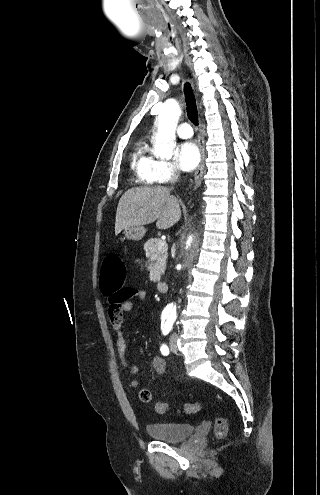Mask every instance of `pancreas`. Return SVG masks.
Segmentation results:
<instances>
[{
    "mask_svg": "<svg viewBox=\"0 0 320 495\" xmlns=\"http://www.w3.org/2000/svg\"><path fill=\"white\" fill-rule=\"evenodd\" d=\"M160 241L161 240L158 238H151L144 244L146 256L151 261L149 268L155 272V276L153 278L154 281H158L160 279L161 275L165 271L167 262V244L159 247L158 243Z\"/></svg>",
    "mask_w": 320,
    "mask_h": 495,
    "instance_id": "pancreas-1",
    "label": "pancreas"
}]
</instances>
